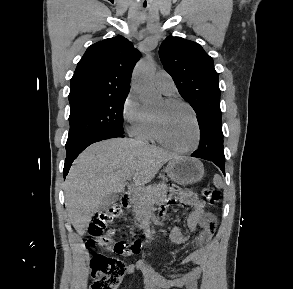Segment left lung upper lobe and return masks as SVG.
Wrapping results in <instances>:
<instances>
[{"instance_id":"1","label":"left lung upper lobe","mask_w":293,"mask_h":289,"mask_svg":"<svg viewBox=\"0 0 293 289\" xmlns=\"http://www.w3.org/2000/svg\"><path fill=\"white\" fill-rule=\"evenodd\" d=\"M159 56L180 95L196 112L198 123H221L218 73L204 49L196 42L169 36L162 42Z\"/></svg>"}]
</instances>
